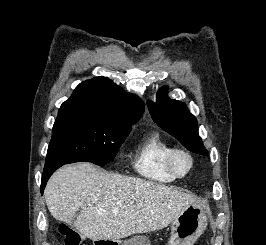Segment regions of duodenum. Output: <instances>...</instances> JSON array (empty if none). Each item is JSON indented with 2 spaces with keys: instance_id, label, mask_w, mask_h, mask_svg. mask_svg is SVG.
Masks as SVG:
<instances>
[{
  "instance_id": "1",
  "label": "duodenum",
  "mask_w": 266,
  "mask_h": 245,
  "mask_svg": "<svg viewBox=\"0 0 266 245\" xmlns=\"http://www.w3.org/2000/svg\"><path fill=\"white\" fill-rule=\"evenodd\" d=\"M116 237H95L94 245H113Z\"/></svg>"
}]
</instances>
